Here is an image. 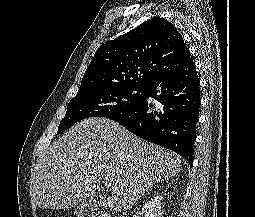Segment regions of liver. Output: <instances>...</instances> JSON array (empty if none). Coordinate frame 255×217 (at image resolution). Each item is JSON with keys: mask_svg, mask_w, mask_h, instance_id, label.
<instances>
[{"mask_svg": "<svg viewBox=\"0 0 255 217\" xmlns=\"http://www.w3.org/2000/svg\"><path fill=\"white\" fill-rule=\"evenodd\" d=\"M172 151L147 142L107 118L85 119L58 138L36 164L31 197L42 209H68L95 194L101 180L116 189L101 204L131 208L158 181L181 170Z\"/></svg>", "mask_w": 255, "mask_h": 217, "instance_id": "6515ba94", "label": "liver"}]
</instances>
